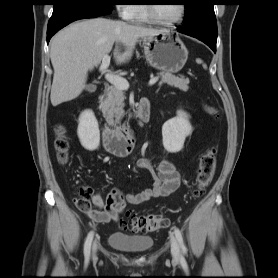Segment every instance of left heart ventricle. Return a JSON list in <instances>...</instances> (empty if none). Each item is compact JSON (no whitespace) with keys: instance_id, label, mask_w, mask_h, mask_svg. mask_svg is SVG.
<instances>
[{"instance_id":"1","label":"left heart ventricle","mask_w":278,"mask_h":278,"mask_svg":"<svg viewBox=\"0 0 278 278\" xmlns=\"http://www.w3.org/2000/svg\"><path fill=\"white\" fill-rule=\"evenodd\" d=\"M155 15L162 21L170 22L176 19L180 12L179 4H164L153 6Z\"/></svg>"}]
</instances>
